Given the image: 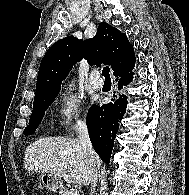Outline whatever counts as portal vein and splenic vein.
I'll list each match as a JSON object with an SVG mask.
<instances>
[{
	"instance_id": "18ae733b",
	"label": "portal vein and splenic vein",
	"mask_w": 189,
	"mask_h": 195,
	"mask_svg": "<svg viewBox=\"0 0 189 195\" xmlns=\"http://www.w3.org/2000/svg\"><path fill=\"white\" fill-rule=\"evenodd\" d=\"M68 195H79V191L77 189H71Z\"/></svg>"
}]
</instances>
